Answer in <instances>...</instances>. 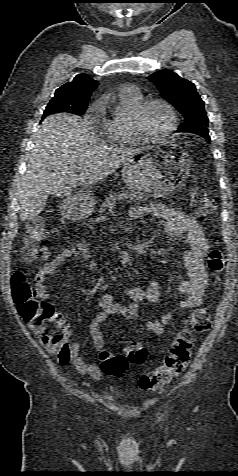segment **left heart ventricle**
<instances>
[{
	"mask_svg": "<svg viewBox=\"0 0 238 476\" xmlns=\"http://www.w3.org/2000/svg\"><path fill=\"white\" fill-rule=\"evenodd\" d=\"M170 123V115L161 104H152L144 112L141 118V126L145 132L151 135L162 133Z\"/></svg>",
	"mask_w": 238,
	"mask_h": 476,
	"instance_id": "left-heart-ventricle-1",
	"label": "left heart ventricle"
}]
</instances>
